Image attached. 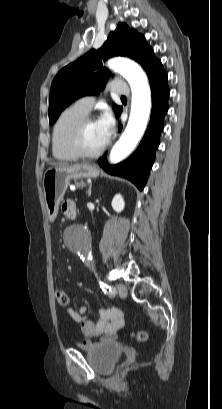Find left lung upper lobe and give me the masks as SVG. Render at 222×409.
<instances>
[{
  "mask_svg": "<svg viewBox=\"0 0 222 409\" xmlns=\"http://www.w3.org/2000/svg\"><path fill=\"white\" fill-rule=\"evenodd\" d=\"M127 56L142 65L149 79L163 70L161 62L154 57L152 48L144 36L119 23L98 50H90L84 56L68 64L55 76L50 91L49 122L53 124L58 115L74 100L85 95L99 94L109 77L102 60L112 56ZM116 116L121 107L113 105Z\"/></svg>",
  "mask_w": 222,
  "mask_h": 409,
  "instance_id": "obj_1",
  "label": "left lung upper lobe"
}]
</instances>
